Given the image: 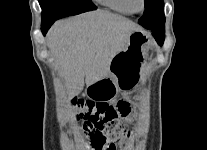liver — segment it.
Returning a JSON list of instances; mask_svg holds the SVG:
<instances>
[{
    "instance_id": "liver-1",
    "label": "liver",
    "mask_w": 207,
    "mask_h": 150,
    "mask_svg": "<svg viewBox=\"0 0 207 150\" xmlns=\"http://www.w3.org/2000/svg\"><path fill=\"white\" fill-rule=\"evenodd\" d=\"M139 25L107 11L88 12L57 21L47 34V45L65 81L66 93L108 77L114 56L121 52Z\"/></svg>"
}]
</instances>
